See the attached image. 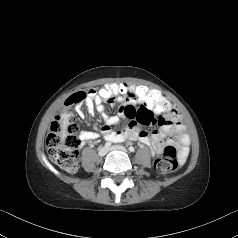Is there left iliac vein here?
I'll use <instances>...</instances> for the list:
<instances>
[{
    "instance_id": "left-iliac-vein-1",
    "label": "left iliac vein",
    "mask_w": 238,
    "mask_h": 238,
    "mask_svg": "<svg viewBox=\"0 0 238 238\" xmlns=\"http://www.w3.org/2000/svg\"><path fill=\"white\" fill-rule=\"evenodd\" d=\"M115 150L122 151L125 153L128 152L127 149L121 145H114V146H111L110 148H108V151H115Z\"/></svg>"
}]
</instances>
